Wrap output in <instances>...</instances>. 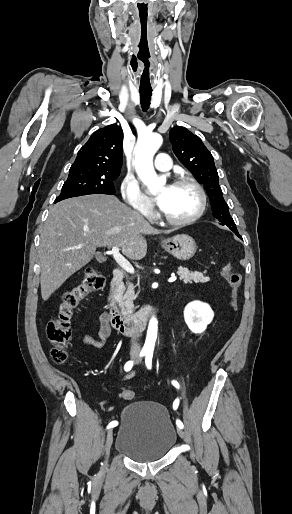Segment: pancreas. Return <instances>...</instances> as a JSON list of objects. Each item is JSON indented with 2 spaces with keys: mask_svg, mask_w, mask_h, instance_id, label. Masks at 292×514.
I'll use <instances>...</instances> for the list:
<instances>
[{
  "mask_svg": "<svg viewBox=\"0 0 292 514\" xmlns=\"http://www.w3.org/2000/svg\"><path fill=\"white\" fill-rule=\"evenodd\" d=\"M178 276H180V280H183L184 284H198V282H208L209 278L203 276L202 272H189L187 268H178L177 272ZM206 274V272H204ZM134 284L131 282H127V288H124L123 284H120L116 290L115 300L118 302L120 308H122L123 316H128L130 312L133 310V300H136L137 296L134 292Z\"/></svg>",
  "mask_w": 292,
  "mask_h": 514,
  "instance_id": "obj_1",
  "label": "pancreas"
}]
</instances>
